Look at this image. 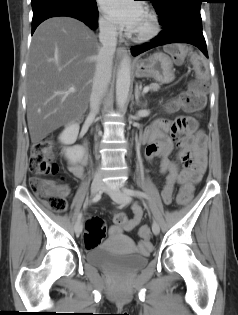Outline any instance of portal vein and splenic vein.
Instances as JSON below:
<instances>
[{
	"label": "portal vein and splenic vein",
	"mask_w": 238,
	"mask_h": 315,
	"mask_svg": "<svg viewBox=\"0 0 238 315\" xmlns=\"http://www.w3.org/2000/svg\"><path fill=\"white\" fill-rule=\"evenodd\" d=\"M149 89H150L149 86L144 87L143 93H147L149 91ZM74 91H75V88H73V87L69 88V92H74Z\"/></svg>",
	"instance_id": "portal-vein-and-splenic-vein-1"
}]
</instances>
